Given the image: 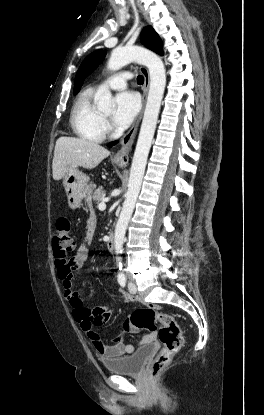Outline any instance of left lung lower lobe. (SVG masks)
Instances as JSON below:
<instances>
[{"label": "left lung lower lobe", "mask_w": 264, "mask_h": 415, "mask_svg": "<svg viewBox=\"0 0 264 415\" xmlns=\"http://www.w3.org/2000/svg\"><path fill=\"white\" fill-rule=\"evenodd\" d=\"M114 144H116V142L111 143V144H110V146H112V145H114Z\"/></svg>", "instance_id": "1"}]
</instances>
